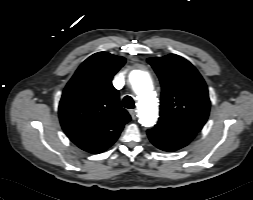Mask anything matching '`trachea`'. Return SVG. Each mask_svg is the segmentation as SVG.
I'll list each match as a JSON object with an SVG mask.
<instances>
[{
  "mask_svg": "<svg viewBox=\"0 0 253 200\" xmlns=\"http://www.w3.org/2000/svg\"><path fill=\"white\" fill-rule=\"evenodd\" d=\"M122 106L128 109H133L135 107L133 98L131 96H125L122 100Z\"/></svg>",
  "mask_w": 253,
  "mask_h": 200,
  "instance_id": "obj_1",
  "label": "trachea"
}]
</instances>
